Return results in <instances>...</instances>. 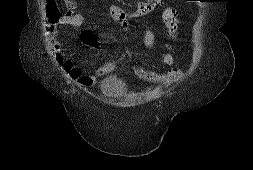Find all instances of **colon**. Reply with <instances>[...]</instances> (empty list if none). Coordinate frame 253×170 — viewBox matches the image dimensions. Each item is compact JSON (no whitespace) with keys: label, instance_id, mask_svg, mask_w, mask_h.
Returning a JSON list of instances; mask_svg holds the SVG:
<instances>
[{"label":"colon","instance_id":"obj_1","mask_svg":"<svg viewBox=\"0 0 253 170\" xmlns=\"http://www.w3.org/2000/svg\"><path fill=\"white\" fill-rule=\"evenodd\" d=\"M46 4H48V8H47V6H46V8H47V12L50 16L51 22H53V23L58 22L62 16V13L57 6L56 0H46ZM176 17L177 16H175V15L172 17V23L175 25H178V21H176Z\"/></svg>","mask_w":253,"mask_h":170}]
</instances>
